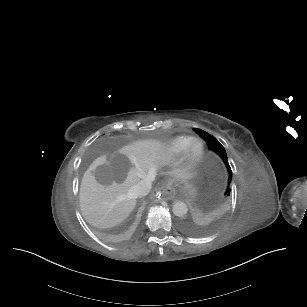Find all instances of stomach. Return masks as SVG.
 I'll list each match as a JSON object with an SVG mask.
<instances>
[{"mask_svg":"<svg viewBox=\"0 0 307 307\" xmlns=\"http://www.w3.org/2000/svg\"><path fill=\"white\" fill-rule=\"evenodd\" d=\"M184 183H185V188H186L187 190H191V189H192L191 184L187 183L186 181H184Z\"/></svg>","mask_w":307,"mask_h":307,"instance_id":"1","label":"stomach"}]
</instances>
